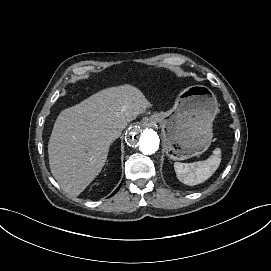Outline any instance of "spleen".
<instances>
[{
    "instance_id": "spleen-1",
    "label": "spleen",
    "mask_w": 271,
    "mask_h": 271,
    "mask_svg": "<svg viewBox=\"0 0 271 271\" xmlns=\"http://www.w3.org/2000/svg\"><path fill=\"white\" fill-rule=\"evenodd\" d=\"M219 149L214 150V155H211L204 161L195 163L174 162L175 172L178 177H187L195 184L207 179L218 167L220 162Z\"/></svg>"
}]
</instances>
